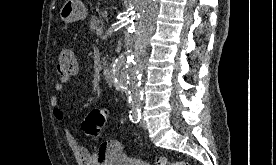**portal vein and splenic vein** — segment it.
I'll return each mask as SVG.
<instances>
[{"instance_id": "obj_1", "label": "portal vein and splenic vein", "mask_w": 276, "mask_h": 165, "mask_svg": "<svg viewBox=\"0 0 276 165\" xmlns=\"http://www.w3.org/2000/svg\"><path fill=\"white\" fill-rule=\"evenodd\" d=\"M102 34H103V29L102 28L97 29V35L101 36Z\"/></svg>"}]
</instances>
